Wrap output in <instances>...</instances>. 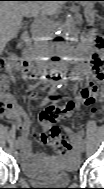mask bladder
Here are the masks:
<instances>
[{"label": "bladder", "mask_w": 104, "mask_h": 189, "mask_svg": "<svg viewBox=\"0 0 104 189\" xmlns=\"http://www.w3.org/2000/svg\"><path fill=\"white\" fill-rule=\"evenodd\" d=\"M60 163L57 158L34 168H22L21 172L38 185L64 186L71 182L75 170L71 162Z\"/></svg>", "instance_id": "obj_1"}]
</instances>
